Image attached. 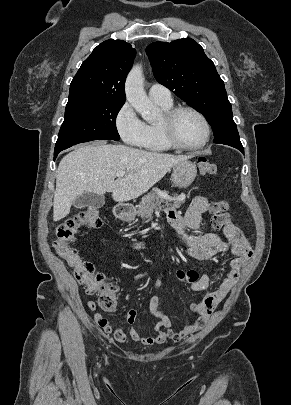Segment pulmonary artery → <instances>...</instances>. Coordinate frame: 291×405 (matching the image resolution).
<instances>
[{"mask_svg": "<svg viewBox=\"0 0 291 405\" xmlns=\"http://www.w3.org/2000/svg\"><path fill=\"white\" fill-rule=\"evenodd\" d=\"M148 94L150 98L154 101L165 103L172 102L170 90L159 83L152 84L149 88Z\"/></svg>", "mask_w": 291, "mask_h": 405, "instance_id": "e3ab8cb5", "label": "pulmonary artery"}]
</instances>
